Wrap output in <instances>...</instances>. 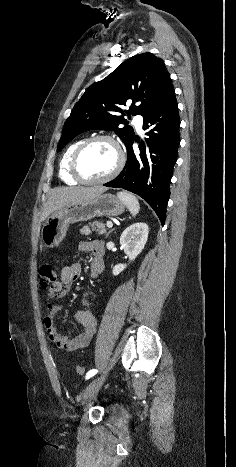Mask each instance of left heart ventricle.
<instances>
[{"label": "left heart ventricle", "mask_w": 236, "mask_h": 467, "mask_svg": "<svg viewBox=\"0 0 236 467\" xmlns=\"http://www.w3.org/2000/svg\"><path fill=\"white\" fill-rule=\"evenodd\" d=\"M117 163L114 146L105 140L89 145L82 153L79 169L87 179H99L109 174Z\"/></svg>", "instance_id": "left-heart-ventricle-1"}]
</instances>
